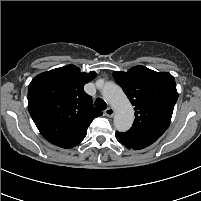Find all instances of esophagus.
<instances>
[{
	"instance_id": "obj_1",
	"label": "esophagus",
	"mask_w": 201,
	"mask_h": 201,
	"mask_svg": "<svg viewBox=\"0 0 201 201\" xmlns=\"http://www.w3.org/2000/svg\"><path fill=\"white\" fill-rule=\"evenodd\" d=\"M105 115L107 116V117H112L113 115H114V109L112 108V107H109V108H107L106 110H105Z\"/></svg>"
}]
</instances>
